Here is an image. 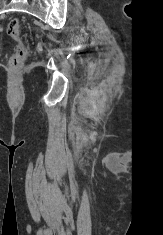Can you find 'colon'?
<instances>
[{
    "mask_svg": "<svg viewBox=\"0 0 163 235\" xmlns=\"http://www.w3.org/2000/svg\"><path fill=\"white\" fill-rule=\"evenodd\" d=\"M7 34L19 43L15 54L11 57L10 60V68L12 71L16 72L22 67L23 62L28 55V49L22 42L20 25L17 19H13L8 23Z\"/></svg>",
    "mask_w": 163,
    "mask_h": 235,
    "instance_id": "1",
    "label": "colon"
}]
</instances>
